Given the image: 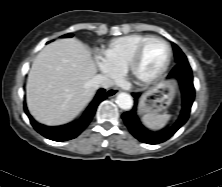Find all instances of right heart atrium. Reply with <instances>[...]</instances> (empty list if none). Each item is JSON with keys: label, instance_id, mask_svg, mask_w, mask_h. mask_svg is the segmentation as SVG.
I'll list each match as a JSON object with an SVG mask.
<instances>
[{"label": "right heart atrium", "instance_id": "d8ad5b80", "mask_svg": "<svg viewBox=\"0 0 222 187\" xmlns=\"http://www.w3.org/2000/svg\"><path fill=\"white\" fill-rule=\"evenodd\" d=\"M97 66L102 74L110 79H116L119 75V71L104 58H98Z\"/></svg>", "mask_w": 222, "mask_h": 187}]
</instances>
